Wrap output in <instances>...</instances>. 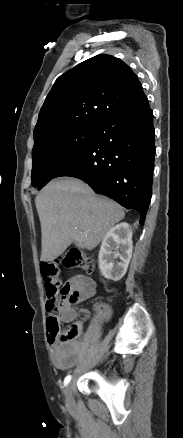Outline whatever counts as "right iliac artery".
<instances>
[{
	"instance_id": "right-iliac-artery-1",
	"label": "right iliac artery",
	"mask_w": 183,
	"mask_h": 438,
	"mask_svg": "<svg viewBox=\"0 0 183 438\" xmlns=\"http://www.w3.org/2000/svg\"><path fill=\"white\" fill-rule=\"evenodd\" d=\"M71 380V375L66 376V378L64 379V385H67Z\"/></svg>"
}]
</instances>
